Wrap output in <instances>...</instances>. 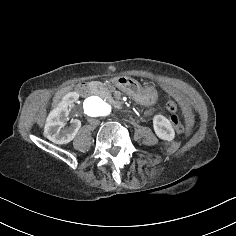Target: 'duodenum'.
I'll return each mask as SVG.
<instances>
[{
	"label": "duodenum",
	"mask_w": 236,
	"mask_h": 236,
	"mask_svg": "<svg viewBox=\"0 0 236 236\" xmlns=\"http://www.w3.org/2000/svg\"><path fill=\"white\" fill-rule=\"evenodd\" d=\"M112 83L117 84L119 83V79L114 78L112 79ZM91 85L89 83H83L78 87V92L81 96L86 97L90 94Z\"/></svg>",
	"instance_id": "410a0bca"
}]
</instances>
